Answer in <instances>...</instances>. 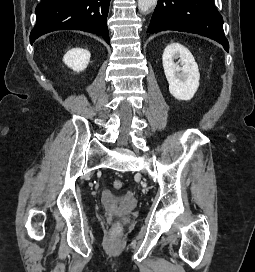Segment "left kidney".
<instances>
[{"label":"left kidney","mask_w":255,"mask_h":272,"mask_svg":"<svg viewBox=\"0 0 255 272\" xmlns=\"http://www.w3.org/2000/svg\"><path fill=\"white\" fill-rule=\"evenodd\" d=\"M178 58L180 65L175 62ZM162 61L170 94L177 100H191L200 79L198 65L191 52L179 43H171L164 49Z\"/></svg>","instance_id":"obj_1"}]
</instances>
